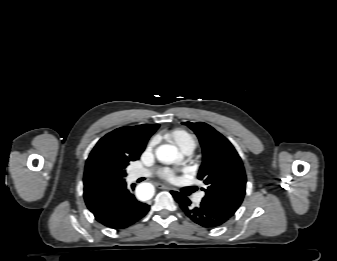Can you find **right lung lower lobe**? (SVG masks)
<instances>
[{
  "label": "right lung lower lobe",
  "instance_id": "right-lung-lower-lobe-1",
  "mask_svg": "<svg viewBox=\"0 0 337 261\" xmlns=\"http://www.w3.org/2000/svg\"><path fill=\"white\" fill-rule=\"evenodd\" d=\"M149 208V205L136 200L124 182L92 213L95 219L104 226L119 230L139 221L149 211Z\"/></svg>",
  "mask_w": 337,
  "mask_h": 261
}]
</instances>
